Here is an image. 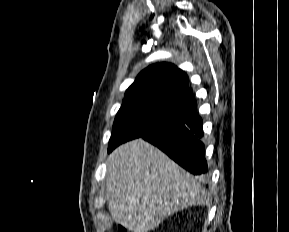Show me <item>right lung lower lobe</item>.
Masks as SVG:
<instances>
[{"mask_svg":"<svg viewBox=\"0 0 289 232\" xmlns=\"http://www.w3.org/2000/svg\"><path fill=\"white\" fill-rule=\"evenodd\" d=\"M202 124L201 117L193 110L141 137L160 148L189 172L201 175L208 171L201 141Z\"/></svg>","mask_w":289,"mask_h":232,"instance_id":"98d812e1","label":"right lung lower lobe"}]
</instances>
